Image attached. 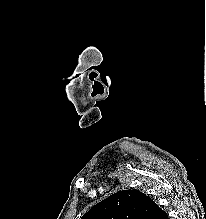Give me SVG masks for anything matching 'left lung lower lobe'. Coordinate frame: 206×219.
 Wrapping results in <instances>:
<instances>
[{"label": "left lung lower lobe", "mask_w": 206, "mask_h": 219, "mask_svg": "<svg viewBox=\"0 0 206 219\" xmlns=\"http://www.w3.org/2000/svg\"><path fill=\"white\" fill-rule=\"evenodd\" d=\"M150 219H169L166 212L157 206L155 203L153 206V213Z\"/></svg>", "instance_id": "obj_1"}]
</instances>
